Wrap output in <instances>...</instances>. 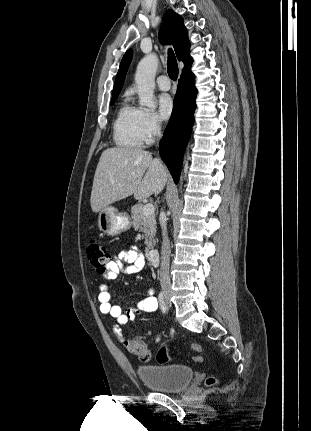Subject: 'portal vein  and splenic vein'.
Listing matches in <instances>:
<instances>
[{
	"label": "portal vein and splenic vein",
	"mask_w": 311,
	"mask_h": 431,
	"mask_svg": "<svg viewBox=\"0 0 311 431\" xmlns=\"http://www.w3.org/2000/svg\"><path fill=\"white\" fill-rule=\"evenodd\" d=\"M154 206L153 204H146L143 208V214L144 216H151V214H154Z\"/></svg>",
	"instance_id": "18ae733b"
}]
</instances>
